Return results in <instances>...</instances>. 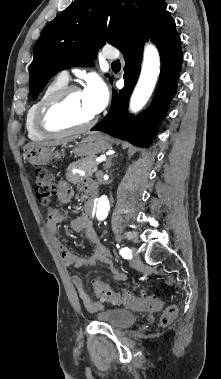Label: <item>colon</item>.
Returning a JSON list of instances; mask_svg holds the SVG:
<instances>
[{"label":"colon","instance_id":"obj_1","mask_svg":"<svg viewBox=\"0 0 221 379\" xmlns=\"http://www.w3.org/2000/svg\"><path fill=\"white\" fill-rule=\"evenodd\" d=\"M34 176L36 197L42 206L48 207L56 195L54 176L50 170L44 167L35 168ZM92 284L97 298L102 302L123 304L129 308L142 311L159 310L163 304L162 300L155 295L147 293L131 295L117 292L100 279H94ZM177 313L178 309L175 305L168 306L161 314V326H169L176 318Z\"/></svg>","mask_w":221,"mask_h":379}]
</instances>
